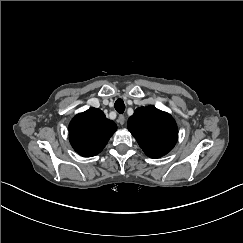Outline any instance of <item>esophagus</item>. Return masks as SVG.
I'll return each mask as SVG.
<instances>
[{
	"label": "esophagus",
	"instance_id": "1",
	"mask_svg": "<svg viewBox=\"0 0 243 243\" xmlns=\"http://www.w3.org/2000/svg\"><path fill=\"white\" fill-rule=\"evenodd\" d=\"M118 122H119V124L120 125H124V123H125V116L124 115H119L118 116Z\"/></svg>",
	"mask_w": 243,
	"mask_h": 243
}]
</instances>
